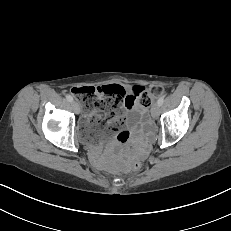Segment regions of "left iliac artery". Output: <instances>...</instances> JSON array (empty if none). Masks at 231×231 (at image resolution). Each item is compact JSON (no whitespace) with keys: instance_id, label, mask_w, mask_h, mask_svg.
Returning <instances> with one entry per match:
<instances>
[{"instance_id":"1","label":"left iliac artery","mask_w":231,"mask_h":231,"mask_svg":"<svg viewBox=\"0 0 231 231\" xmlns=\"http://www.w3.org/2000/svg\"><path fill=\"white\" fill-rule=\"evenodd\" d=\"M163 102H164V97L161 96V97L158 99L157 103H158L159 106H161V105L163 104Z\"/></svg>"}]
</instances>
